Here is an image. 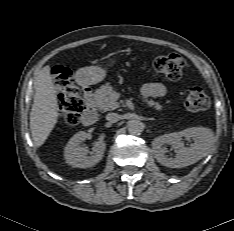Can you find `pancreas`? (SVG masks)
<instances>
[{
	"mask_svg": "<svg viewBox=\"0 0 234 231\" xmlns=\"http://www.w3.org/2000/svg\"><path fill=\"white\" fill-rule=\"evenodd\" d=\"M114 88L105 84L96 90L94 94V103L99 110L108 111L119 107V103L114 99ZM148 105L154 107L156 110H161L162 106L153 100L148 102Z\"/></svg>",
	"mask_w": 234,
	"mask_h": 231,
	"instance_id": "1",
	"label": "pancreas"
}]
</instances>
